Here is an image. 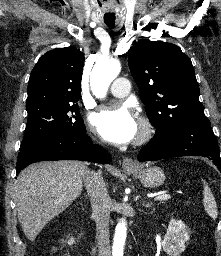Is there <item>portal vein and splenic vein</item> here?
I'll return each mask as SVG.
<instances>
[{
    "label": "portal vein and splenic vein",
    "instance_id": "1",
    "mask_svg": "<svg viewBox=\"0 0 221 256\" xmlns=\"http://www.w3.org/2000/svg\"><path fill=\"white\" fill-rule=\"evenodd\" d=\"M171 199L170 194H162L154 198L155 201H164V200H169Z\"/></svg>",
    "mask_w": 221,
    "mask_h": 256
}]
</instances>
